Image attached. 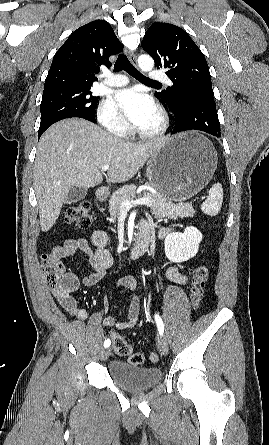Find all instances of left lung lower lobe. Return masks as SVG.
<instances>
[{
  "label": "left lung lower lobe",
  "instance_id": "obj_1",
  "mask_svg": "<svg viewBox=\"0 0 269 445\" xmlns=\"http://www.w3.org/2000/svg\"><path fill=\"white\" fill-rule=\"evenodd\" d=\"M186 130H200L213 136H221L214 96L188 95L180 101L172 134Z\"/></svg>",
  "mask_w": 269,
  "mask_h": 445
}]
</instances>
